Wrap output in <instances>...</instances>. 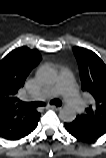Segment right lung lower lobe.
<instances>
[{"label": "right lung lower lobe", "instance_id": "obj_1", "mask_svg": "<svg viewBox=\"0 0 106 158\" xmlns=\"http://www.w3.org/2000/svg\"><path fill=\"white\" fill-rule=\"evenodd\" d=\"M38 121H39V119L37 120V122L33 125V127L31 128V129H29L24 135H22L21 137H23V136H26V135H28L29 133H31L35 128H36V126H37V124H38Z\"/></svg>", "mask_w": 106, "mask_h": 158}]
</instances>
